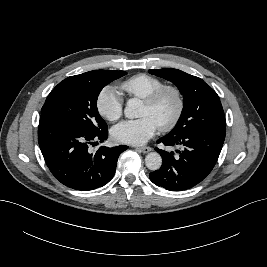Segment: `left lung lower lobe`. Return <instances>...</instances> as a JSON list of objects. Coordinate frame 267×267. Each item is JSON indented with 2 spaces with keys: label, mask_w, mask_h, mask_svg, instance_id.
Returning <instances> with one entry per match:
<instances>
[{
  "label": "left lung lower lobe",
  "mask_w": 267,
  "mask_h": 267,
  "mask_svg": "<svg viewBox=\"0 0 267 267\" xmlns=\"http://www.w3.org/2000/svg\"><path fill=\"white\" fill-rule=\"evenodd\" d=\"M226 129L197 130L190 133L157 140L166 146L181 145L182 150L167 152L155 148L162 156L163 164L159 170L149 174L157 186L170 191H182L200 183L215 166L221 152Z\"/></svg>",
  "instance_id": "0a47b994"
}]
</instances>
